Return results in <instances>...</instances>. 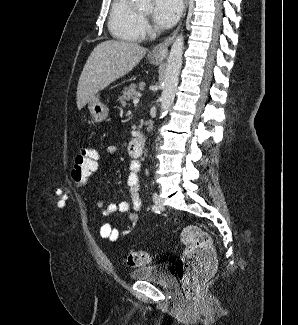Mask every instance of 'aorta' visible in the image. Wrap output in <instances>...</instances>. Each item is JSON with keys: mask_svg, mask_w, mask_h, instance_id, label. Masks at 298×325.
<instances>
[{"mask_svg": "<svg viewBox=\"0 0 298 325\" xmlns=\"http://www.w3.org/2000/svg\"><path fill=\"white\" fill-rule=\"evenodd\" d=\"M135 4L137 8H142V10H150V8H153V0H135ZM184 44V32H178L174 42L171 44L169 56L167 58L160 96V118L169 112V108L174 102L182 66Z\"/></svg>", "mask_w": 298, "mask_h": 325, "instance_id": "762f6f07", "label": "aorta"}]
</instances>
